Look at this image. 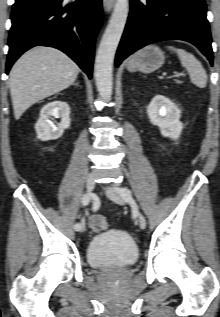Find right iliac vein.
<instances>
[{
	"instance_id": "right-iliac-vein-1",
	"label": "right iliac vein",
	"mask_w": 220,
	"mask_h": 317,
	"mask_svg": "<svg viewBox=\"0 0 220 317\" xmlns=\"http://www.w3.org/2000/svg\"><path fill=\"white\" fill-rule=\"evenodd\" d=\"M95 187V178L92 175H89L86 179V188L88 190V192L91 194L94 190ZM85 229V222L82 221L81 222V228H80V232L84 231Z\"/></svg>"
}]
</instances>
